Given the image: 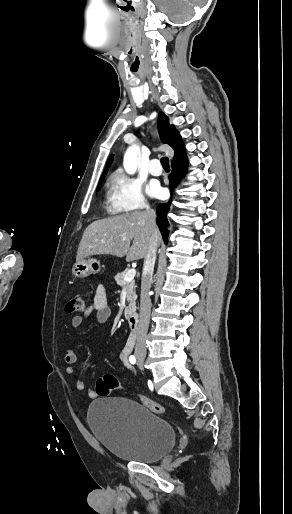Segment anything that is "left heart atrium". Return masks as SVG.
Returning <instances> with one entry per match:
<instances>
[{"mask_svg":"<svg viewBox=\"0 0 292 514\" xmlns=\"http://www.w3.org/2000/svg\"><path fill=\"white\" fill-rule=\"evenodd\" d=\"M148 193L152 197H159L161 195V189L158 186L152 185L148 188Z\"/></svg>","mask_w":292,"mask_h":514,"instance_id":"39dd6f15","label":"left heart atrium"}]
</instances>
